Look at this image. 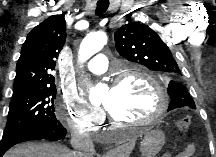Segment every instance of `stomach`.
<instances>
[{
    "label": "stomach",
    "mask_w": 216,
    "mask_h": 157,
    "mask_svg": "<svg viewBox=\"0 0 216 157\" xmlns=\"http://www.w3.org/2000/svg\"><path fill=\"white\" fill-rule=\"evenodd\" d=\"M164 140V133L160 129L145 132L140 144L141 157H155L161 150Z\"/></svg>",
    "instance_id": "0dacf381"
}]
</instances>
